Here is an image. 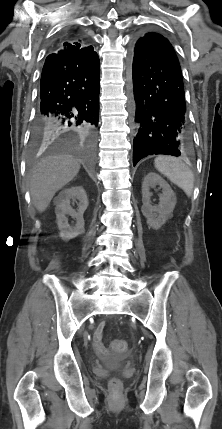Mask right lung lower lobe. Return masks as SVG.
<instances>
[{
	"label": "right lung lower lobe",
	"instance_id": "1",
	"mask_svg": "<svg viewBox=\"0 0 222 429\" xmlns=\"http://www.w3.org/2000/svg\"><path fill=\"white\" fill-rule=\"evenodd\" d=\"M100 64L94 51L88 57L61 49L44 63L34 130L51 137L77 131L91 135L99 119Z\"/></svg>",
	"mask_w": 222,
	"mask_h": 429
}]
</instances>
